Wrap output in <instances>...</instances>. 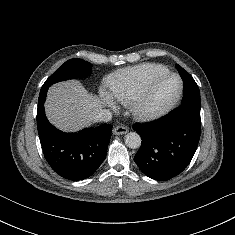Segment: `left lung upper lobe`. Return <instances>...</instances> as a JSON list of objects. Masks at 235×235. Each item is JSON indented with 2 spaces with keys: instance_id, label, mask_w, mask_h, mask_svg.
I'll return each instance as SVG.
<instances>
[{
  "instance_id": "1",
  "label": "left lung upper lobe",
  "mask_w": 235,
  "mask_h": 235,
  "mask_svg": "<svg viewBox=\"0 0 235 235\" xmlns=\"http://www.w3.org/2000/svg\"><path fill=\"white\" fill-rule=\"evenodd\" d=\"M176 68H177L181 78H185L187 80H190L191 84H192V91L190 93H186L183 91L184 96H183L181 103H183V102L201 103L199 88H198V85L196 84V82L194 81V79L192 78V76L187 71H185L181 66L176 65Z\"/></svg>"
}]
</instances>
